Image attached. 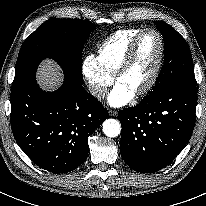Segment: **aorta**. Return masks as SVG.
I'll use <instances>...</instances> for the list:
<instances>
[{
  "mask_svg": "<svg viewBox=\"0 0 206 206\" xmlns=\"http://www.w3.org/2000/svg\"><path fill=\"white\" fill-rule=\"evenodd\" d=\"M103 132L107 137H117L121 132V124L116 119H107L103 122Z\"/></svg>",
  "mask_w": 206,
  "mask_h": 206,
  "instance_id": "obj_1",
  "label": "aorta"
}]
</instances>
